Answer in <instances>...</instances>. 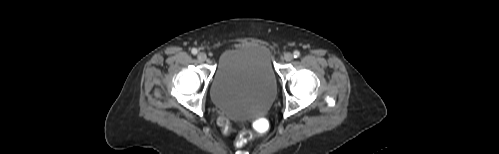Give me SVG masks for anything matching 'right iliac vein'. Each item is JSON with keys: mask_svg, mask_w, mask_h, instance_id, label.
Instances as JSON below:
<instances>
[{"mask_svg": "<svg viewBox=\"0 0 499 154\" xmlns=\"http://www.w3.org/2000/svg\"><path fill=\"white\" fill-rule=\"evenodd\" d=\"M197 57H198V60L201 62H204L207 60V55L204 52H200Z\"/></svg>", "mask_w": 499, "mask_h": 154, "instance_id": "63e3f726", "label": "right iliac vein"}]
</instances>
